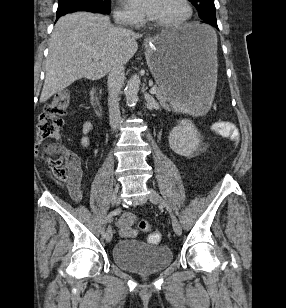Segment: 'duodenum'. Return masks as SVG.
I'll list each match as a JSON object with an SVG mask.
<instances>
[{
  "mask_svg": "<svg viewBox=\"0 0 286 308\" xmlns=\"http://www.w3.org/2000/svg\"><path fill=\"white\" fill-rule=\"evenodd\" d=\"M91 101H92L95 112L97 113L98 116L101 117L103 110H102V106L97 97V87H94L91 90Z\"/></svg>",
  "mask_w": 286,
  "mask_h": 308,
  "instance_id": "1",
  "label": "duodenum"
}]
</instances>
